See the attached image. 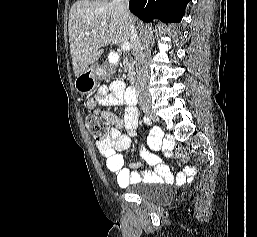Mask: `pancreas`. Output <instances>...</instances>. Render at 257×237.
<instances>
[{
  "mask_svg": "<svg viewBox=\"0 0 257 237\" xmlns=\"http://www.w3.org/2000/svg\"><path fill=\"white\" fill-rule=\"evenodd\" d=\"M123 69L128 75V80L130 83H134L135 76V62L131 56H124L123 59Z\"/></svg>",
  "mask_w": 257,
  "mask_h": 237,
  "instance_id": "1",
  "label": "pancreas"
}]
</instances>
